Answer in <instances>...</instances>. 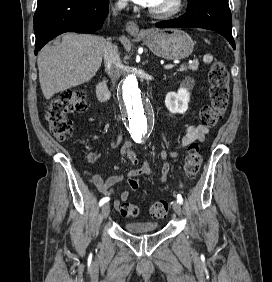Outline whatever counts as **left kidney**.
I'll list each match as a JSON object with an SVG mask.
<instances>
[{"mask_svg":"<svg viewBox=\"0 0 272 282\" xmlns=\"http://www.w3.org/2000/svg\"><path fill=\"white\" fill-rule=\"evenodd\" d=\"M193 79H187L183 81L180 88L176 92H169L165 97V106L172 114H184L188 109V103L190 101L189 90L194 86Z\"/></svg>","mask_w":272,"mask_h":282,"instance_id":"left-kidney-1","label":"left kidney"}]
</instances>
